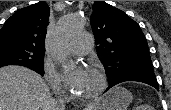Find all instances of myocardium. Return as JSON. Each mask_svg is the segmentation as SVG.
I'll use <instances>...</instances> for the list:
<instances>
[{"label":"myocardium","mask_w":171,"mask_h":110,"mask_svg":"<svg viewBox=\"0 0 171 110\" xmlns=\"http://www.w3.org/2000/svg\"><path fill=\"white\" fill-rule=\"evenodd\" d=\"M90 70L95 72L96 75L98 76L99 86L93 93H91L89 95L80 96L75 93H72V98L76 101H79V102L93 101V100L99 98L107 88L108 79H107L106 73L99 67H91Z\"/></svg>","instance_id":"myocardium-1"}]
</instances>
